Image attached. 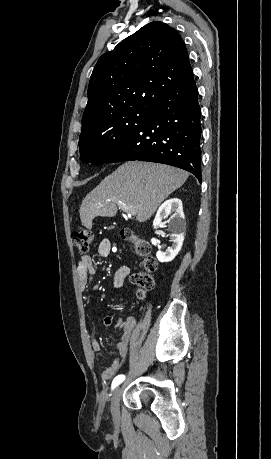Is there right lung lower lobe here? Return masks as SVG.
Segmentation results:
<instances>
[{
    "instance_id": "right-lung-lower-lobe-1",
    "label": "right lung lower lobe",
    "mask_w": 271,
    "mask_h": 459,
    "mask_svg": "<svg viewBox=\"0 0 271 459\" xmlns=\"http://www.w3.org/2000/svg\"><path fill=\"white\" fill-rule=\"evenodd\" d=\"M201 108L194 78L157 99L149 117L108 163L141 160L193 173L201 183Z\"/></svg>"
}]
</instances>
